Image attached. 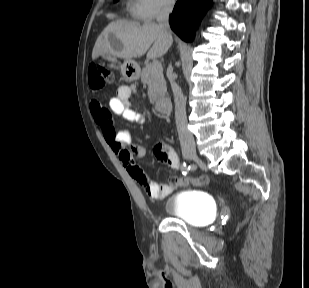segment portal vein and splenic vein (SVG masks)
<instances>
[{
    "instance_id": "18ae733b",
    "label": "portal vein and splenic vein",
    "mask_w": 309,
    "mask_h": 288,
    "mask_svg": "<svg viewBox=\"0 0 309 288\" xmlns=\"http://www.w3.org/2000/svg\"><path fill=\"white\" fill-rule=\"evenodd\" d=\"M151 68H152L153 70L161 69V68H162V65H161V63H160L159 61H153Z\"/></svg>"
}]
</instances>
